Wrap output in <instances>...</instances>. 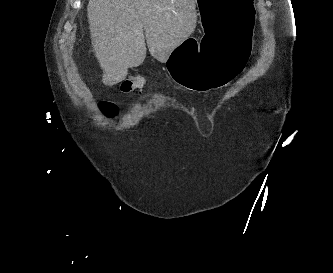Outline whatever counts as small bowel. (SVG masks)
I'll return each instance as SVG.
<instances>
[{"mask_svg": "<svg viewBox=\"0 0 333 273\" xmlns=\"http://www.w3.org/2000/svg\"><path fill=\"white\" fill-rule=\"evenodd\" d=\"M134 85H135L136 87H141V86H143V81H141V80H136V81H134Z\"/></svg>", "mask_w": 333, "mask_h": 273, "instance_id": "1", "label": "small bowel"}]
</instances>
